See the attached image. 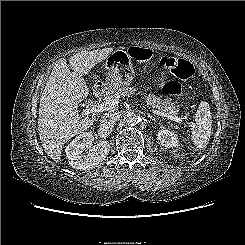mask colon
Here are the masks:
<instances>
[{
    "instance_id": "1",
    "label": "colon",
    "mask_w": 245,
    "mask_h": 245,
    "mask_svg": "<svg viewBox=\"0 0 245 245\" xmlns=\"http://www.w3.org/2000/svg\"><path fill=\"white\" fill-rule=\"evenodd\" d=\"M129 53L134 59L137 60H148L151 57V52L148 49L131 48ZM161 63L180 80H188L194 74L192 64L184 59L164 56L161 59ZM162 92L165 96H178L181 92V85L176 81L167 82L164 84Z\"/></svg>"
}]
</instances>
